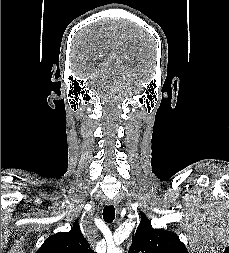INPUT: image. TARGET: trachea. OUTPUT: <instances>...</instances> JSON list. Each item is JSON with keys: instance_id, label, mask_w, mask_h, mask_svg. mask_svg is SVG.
Instances as JSON below:
<instances>
[{"instance_id": "3493384b", "label": "trachea", "mask_w": 229, "mask_h": 253, "mask_svg": "<svg viewBox=\"0 0 229 253\" xmlns=\"http://www.w3.org/2000/svg\"><path fill=\"white\" fill-rule=\"evenodd\" d=\"M115 218V208L113 205L105 206L103 209V219L106 223H112Z\"/></svg>"}]
</instances>
